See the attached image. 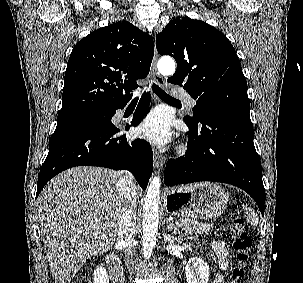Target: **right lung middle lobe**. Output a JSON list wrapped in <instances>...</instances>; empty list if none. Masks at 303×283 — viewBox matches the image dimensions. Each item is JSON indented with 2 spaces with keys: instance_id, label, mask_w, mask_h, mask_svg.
Returning <instances> with one entry per match:
<instances>
[{
  "instance_id": "obj_1",
  "label": "right lung middle lobe",
  "mask_w": 303,
  "mask_h": 283,
  "mask_svg": "<svg viewBox=\"0 0 303 283\" xmlns=\"http://www.w3.org/2000/svg\"><path fill=\"white\" fill-rule=\"evenodd\" d=\"M111 118V111H90L73 115L61 116L57 118L56 129L81 125L96 128H102L109 125L113 126Z\"/></svg>"
}]
</instances>
